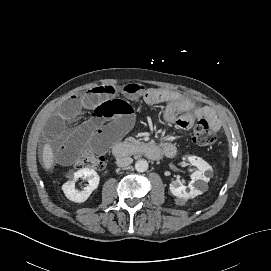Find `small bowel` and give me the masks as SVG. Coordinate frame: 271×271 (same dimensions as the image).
Returning a JSON list of instances; mask_svg holds the SVG:
<instances>
[{
  "label": "small bowel",
  "instance_id": "obj_1",
  "mask_svg": "<svg viewBox=\"0 0 271 271\" xmlns=\"http://www.w3.org/2000/svg\"><path fill=\"white\" fill-rule=\"evenodd\" d=\"M117 93V89L111 85L97 86L72 95L59 105L46 125L47 137L53 144L54 158L58 164H72L86 145L104 153L112 142L132 127L133 109L127 101L117 98ZM122 93L128 100L141 98L147 104L166 103L163 119L167 124L175 123L178 126L179 120L187 122L205 117L214 130L220 127L210 107H197L191 98L178 92L130 83L123 87ZM84 111H89L91 117L78 128L70 129L68 124ZM161 148L168 157L176 153L175 146L169 141L163 142Z\"/></svg>",
  "mask_w": 271,
  "mask_h": 271
}]
</instances>
